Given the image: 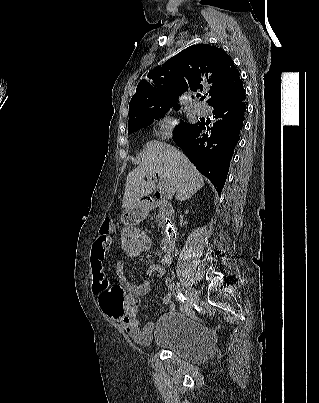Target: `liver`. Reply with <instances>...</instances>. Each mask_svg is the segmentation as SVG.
<instances>
[{"label": "liver", "mask_w": 319, "mask_h": 403, "mask_svg": "<svg viewBox=\"0 0 319 403\" xmlns=\"http://www.w3.org/2000/svg\"><path fill=\"white\" fill-rule=\"evenodd\" d=\"M141 162L129 172L122 201L127 209L155 189V182L145 181V176L157 173L167 187V193H176V199L184 201L204 186V179L188 158L169 144L152 140L141 153Z\"/></svg>", "instance_id": "liver-1"}]
</instances>
